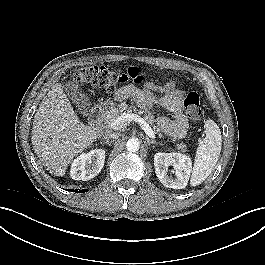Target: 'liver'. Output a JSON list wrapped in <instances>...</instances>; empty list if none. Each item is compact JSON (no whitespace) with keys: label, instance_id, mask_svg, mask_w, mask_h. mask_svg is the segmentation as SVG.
Masks as SVG:
<instances>
[{"label":"liver","instance_id":"liver-1","mask_svg":"<svg viewBox=\"0 0 265 265\" xmlns=\"http://www.w3.org/2000/svg\"><path fill=\"white\" fill-rule=\"evenodd\" d=\"M33 149L43 166L64 176L68 165L97 139V130L82 123L61 83L51 87L33 121Z\"/></svg>","mask_w":265,"mask_h":265}]
</instances>
